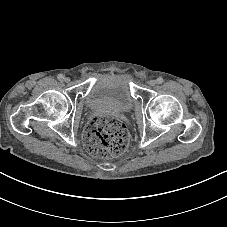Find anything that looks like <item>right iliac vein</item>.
Here are the masks:
<instances>
[{
  "instance_id": "obj_1",
  "label": "right iliac vein",
  "mask_w": 227,
  "mask_h": 227,
  "mask_svg": "<svg viewBox=\"0 0 227 227\" xmlns=\"http://www.w3.org/2000/svg\"><path fill=\"white\" fill-rule=\"evenodd\" d=\"M69 80H70V79H69L68 77H65V78H64V81H65V82H68Z\"/></svg>"
}]
</instances>
